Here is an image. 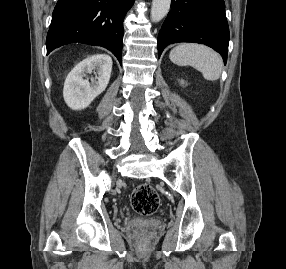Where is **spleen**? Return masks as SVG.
<instances>
[{
  "instance_id": "obj_1",
  "label": "spleen",
  "mask_w": 286,
  "mask_h": 269,
  "mask_svg": "<svg viewBox=\"0 0 286 269\" xmlns=\"http://www.w3.org/2000/svg\"><path fill=\"white\" fill-rule=\"evenodd\" d=\"M169 57L176 65L194 67L208 81H215L221 75V56L205 45L183 43L173 48Z\"/></svg>"
}]
</instances>
